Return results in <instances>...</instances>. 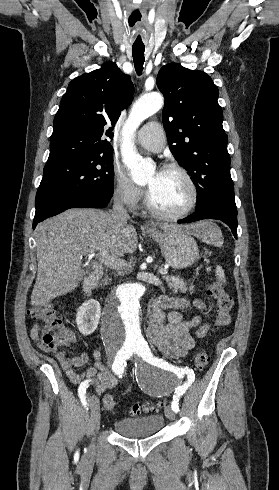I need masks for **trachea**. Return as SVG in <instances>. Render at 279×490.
I'll return each mask as SVG.
<instances>
[{
    "label": "trachea",
    "instance_id": "3493384b",
    "mask_svg": "<svg viewBox=\"0 0 279 490\" xmlns=\"http://www.w3.org/2000/svg\"><path fill=\"white\" fill-rule=\"evenodd\" d=\"M132 50H133V60H134L135 70L140 75L143 70L145 47L133 46Z\"/></svg>",
    "mask_w": 279,
    "mask_h": 490
}]
</instances>
